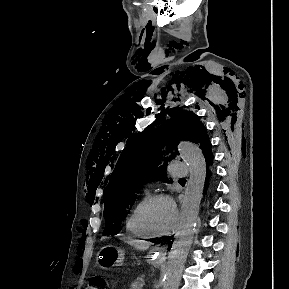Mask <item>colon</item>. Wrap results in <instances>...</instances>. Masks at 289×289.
I'll return each instance as SVG.
<instances>
[{
    "instance_id": "colon-1",
    "label": "colon",
    "mask_w": 289,
    "mask_h": 289,
    "mask_svg": "<svg viewBox=\"0 0 289 289\" xmlns=\"http://www.w3.org/2000/svg\"><path fill=\"white\" fill-rule=\"evenodd\" d=\"M86 289H106L100 278H93L89 281Z\"/></svg>"
}]
</instances>
